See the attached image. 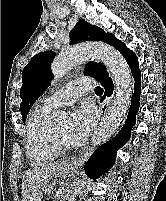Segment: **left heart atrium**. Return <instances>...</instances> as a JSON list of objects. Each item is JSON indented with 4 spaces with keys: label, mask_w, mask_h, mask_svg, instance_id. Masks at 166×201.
Here are the masks:
<instances>
[{
    "label": "left heart atrium",
    "mask_w": 166,
    "mask_h": 201,
    "mask_svg": "<svg viewBox=\"0 0 166 201\" xmlns=\"http://www.w3.org/2000/svg\"><path fill=\"white\" fill-rule=\"evenodd\" d=\"M96 116L90 105L76 108L68 125V138L71 144L80 145L87 138L95 124Z\"/></svg>",
    "instance_id": "left-heart-atrium-1"
}]
</instances>
